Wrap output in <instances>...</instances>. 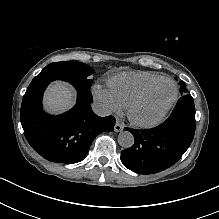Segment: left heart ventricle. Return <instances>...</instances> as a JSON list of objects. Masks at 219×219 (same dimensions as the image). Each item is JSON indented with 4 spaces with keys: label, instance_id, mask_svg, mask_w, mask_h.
I'll use <instances>...</instances> for the list:
<instances>
[{
    "label": "left heart ventricle",
    "instance_id": "left-heart-ventricle-1",
    "mask_svg": "<svg viewBox=\"0 0 219 219\" xmlns=\"http://www.w3.org/2000/svg\"><path fill=\"white\" fill-rule=\"evenodd\" d=\"M174 87L170 82H161L138 108L136 114L141 118H151L171 99Z\"/></svg>",
    "mask_w": 219,
    "mask_h": 219
}]
</instances>
